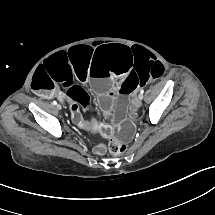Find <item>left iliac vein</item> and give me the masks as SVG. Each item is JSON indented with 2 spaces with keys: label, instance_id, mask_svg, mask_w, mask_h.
<instances>
[{
  "label": "left iliac vein",
  "instance_id": "4c4485c4",
  "mask_svg": "<svg viewBox=\"0 0 215 215\" xmlns=\"http://www.w3.org/2000/svg\"><path fill=\"white\" fill-rule=\"evenodd\" d=\"M143 94L142 93H140L139 95H138V99L141 101L142 99H143Z\"/></svg>",
  "mask_w": 215,
  "mask_h": 215
}]
</instances>
